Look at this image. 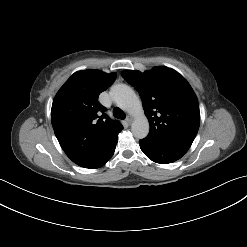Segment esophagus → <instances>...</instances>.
<instances>
[{"mask_svg":"<svg viewBox=\"0 0 247 247\" xmlns=\"http://www.w3.org/2000/svg\"><path fill=\"white\" fill-rule=\"evenodd\" d=\"M126 121H127L129 124L132 123L133 117H132V116H127Z\"/></svg>","mask_w":247,"mask_h":247,"instance_id":"esophagus-1","label":"esophagus"}]
</instances>
